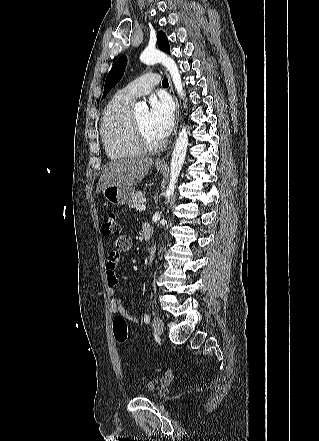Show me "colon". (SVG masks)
Returning <instances> with one entry per match:
<instances>
[{"label":"colon","mask_w":319,"mask_h":441,"mask_svg":"<svg viewBox=\"0 0 319 441\" xmlns=\"http://www.w3.org/2000/svg\"><path fill=\"white\" fill-rule=\"evenodd\" d=\"M121 227L116 212H109L102 224V233L105 236L118 235ZM113 333L117 342L124 343L128 337L127 321L122 316H117L113 320Z\"/></svg>","instance_id":"5ec220e1"}]
</instances>
